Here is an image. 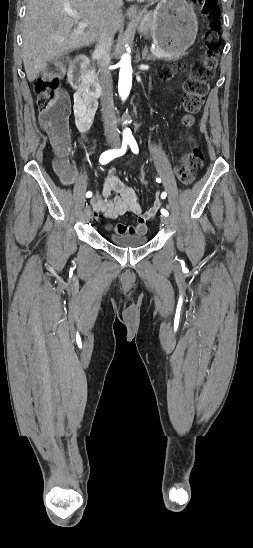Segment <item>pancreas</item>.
<instances>
[{"label": "pancreas", "instance_id": "obj_1", "mask_svg": "<svg viewBox=\"0 0 253 548\" xmlns=\"http://www.w3.org/2000/svg\"><path fill=\"white\" fill-rule=\"evenodd\" d=\"M153 57L154 59H162V60H173L180 57L178 54L168 53L164 50H162L159 47H156L153 51ZM93 77H96L94 71H93Z\"/></svg>", "mask_w": 253, "mask_h": 548}]
</instances>
